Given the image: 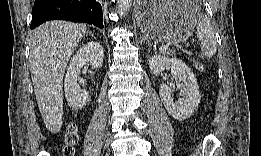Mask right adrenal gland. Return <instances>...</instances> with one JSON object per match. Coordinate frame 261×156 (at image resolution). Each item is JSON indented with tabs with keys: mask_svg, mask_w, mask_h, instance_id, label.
Here are the masks:
<instances>
[{
	"mask_svg": "<svg viewBox=\"0 0 261 156\" xmlns=\"http://www.w3.org/2000/svg\"><path fill=\"white\" fill-rule=\"evenodd\" d=\"M93 37H94V34L90 33Z\"/></svg>",
	"mask_w": 261,
	"mask_h": 156,
	"instance_id": "obj_1",
	"label": "right adrenal gland"
}]
</instances>
